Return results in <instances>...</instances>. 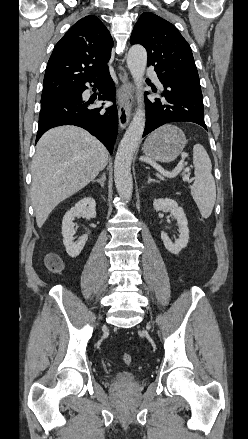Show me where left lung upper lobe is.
Listing matches in <instances>:
<instances>
[{
	"label": "left lung upper lobe",
	"mask_w": 248,
	"mask_h": 439,
	"mask_svg": "<svg viewBox=\"0 0 248 439\" xmlns=\"http://www.w3.org/2000/svg\"><path fill=\"white\" fill-rule=\"evenodd\" d=\"M130 43L146 48L148 66L155 67L158 78L201 91L191 48L173 24L153 13H143Z\"/></svg>",
	"instance_id": "5c2ea615"
}]
</instances>
